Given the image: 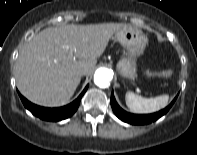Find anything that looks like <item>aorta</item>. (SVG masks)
I'll return each instance as SVG.
<instances>
[{
	"mask_svg": "<svg viewBox=\"0 0 197 155\" xmlns=\"http://www.w3.org/2000/svg\"><path fill=\"white\" fill-rule=\"evenodd\" d=\"M113 78V73L107 68H99L94 75V82L99 87H106Z\"/></svg>",
	"mask_w": 197,
	"mask_h": 155,
	"instance_id": "1",
	"label": "aorta"
}]
</instances>
